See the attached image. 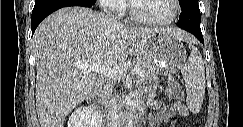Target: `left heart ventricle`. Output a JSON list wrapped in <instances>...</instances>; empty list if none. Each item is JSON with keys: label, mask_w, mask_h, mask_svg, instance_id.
<instances>
[{"label": "left heart ventricle", "mask_w": 243, "mask_h": 127, "mask_svg": "<svg viewBox=\"0 0 243 127\" xmlns=\"http://www.w3.org/2000/svg\"><path fill=\"white\" fill-rule=\"evenodd\" d=\"M137 12L149 19H164L173 12V6L170 0H137Z\"/></svg>", "instance_id": "obj_1"}]
</instances>
